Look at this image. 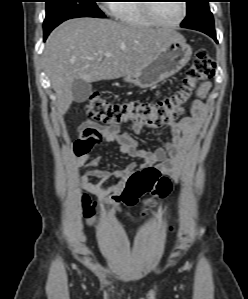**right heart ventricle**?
<instances>
[{
	"label": "right heart ventricle",
	"mask_w": 248,
	"mask_h": 299,
	"mask_svg": "<svg viewBox=\"0 0 248 299\" xmlns=\"http://www.w3.org/2000/svg\"><path fill=\"white\" fill-rule=\"evenodd\" d=\"M145 2L141 0H125L111 4L114 17L122 24L137 27H152L156 24L147 16L144 10Z\"/></svg>",
	"instance_id": "right-heart-ventricle-1"
}]
</instances>
